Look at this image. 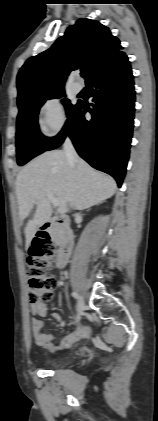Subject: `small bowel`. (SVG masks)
I'll return each instance as SVG.
<instances>
[{
  "label": "small bowel",
  "mask_w": 158,
  "mask_h": 421,
  "mask_svg": "<svg viewBox=\"0 0 158 421\" xmlns=\"http://www.w3.org/2000/svg\"><path fill=\"white\" fill-rule=\"evenodd\" d=\"M48 307L45 302L31 304V312L34 315H38L41 317H45L47 315ZM53 317L56 321L60 322L61 318L58 313H53ZM43 322L39 319L32 320V331L35 343L47 350L55 351L57 347L54 345L53 340L54 338L50 335L45 334L42 332ZM90 333L89 328L80 326L76 330L74 334L66 336L59 344V349L68 348L78 336H86Z\"/></svg>",
  "instance_id": "obj_1"
}]
</instances>
